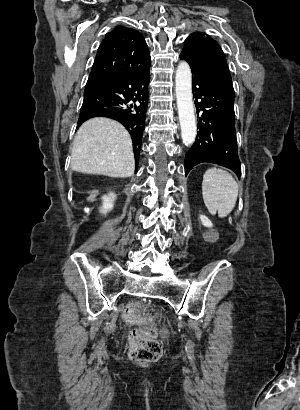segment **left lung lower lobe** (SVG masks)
Masks as SVG:
<instances>
[{"label": "left lung lower lobe", "instance_id": "0a47b994", "mask_svg": "<svg viewBox=\"0 0 300 410\" xmlns=\"http://www.w3.org/2000/svg\"><path fill=\"white\" fill-rule=\"evenodd\" d=\"M180 58L186 60L182 55ZM191 70L193 96L197 115L200 114V118L195 143L185 156V175L195 165L203 162L219 164L240 175L241 164L235 132L234 90L215 76L193 67Z\"/></svg>", "mask_w": 300, "mask_h": 410}]
</instances>
